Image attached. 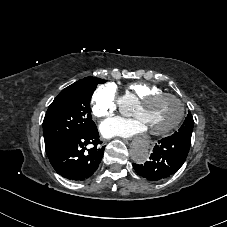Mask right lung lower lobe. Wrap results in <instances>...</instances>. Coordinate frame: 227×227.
I'll return each instance as SVG.
<instances>
[{"mask_svg": "<svg viewBox=\"0 0 227 227\" xmlns=\"http://www.w3.org/2000/svg\"><path fill=\"white\" fill-rule=\"evenodd\" d=\"M99 140L96 125L79 133L69 134L46 145L50 163L61 176L71 180H84L97 170L104 147H97ZM93 148L85 152L86 146Z\"/></svg>", "mask_w": 227, "mask_h": 227, "instance_id": "obj_1", "label": "right lung lower lobe"}]
</instances>
